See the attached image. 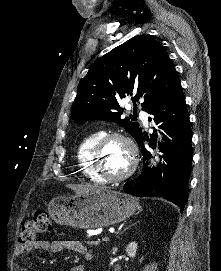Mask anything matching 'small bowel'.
<instances>
[{
    "label": "small bowel",
    "mask_w": 221,
    "mask_h": 271,
    "mask_svg": "<svg viewBox=\"0 0 221 271\" xmlns=\"http://www.w3.org/2000/svg\"><path fill=\"white\" fill-rule=\"evenodd\" d=\"M33 250H43L51 254H57L68 250L80 255H89L88 249L80 241L72 239H55L48 241L46 239L38 238L25 245H17L15 247L14 254L19 256L23 253L32 252ZM71 271H85V269L82 265H75L71 268Z\"/></svg>",
    "instance_id": "small-bowel-1"
}]
</instances>
